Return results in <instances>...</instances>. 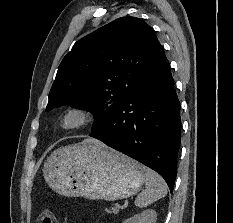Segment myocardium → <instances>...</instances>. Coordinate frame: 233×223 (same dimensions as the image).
Here are the masks:
<instances>
[{"label": "myocardium", "mask_w": 233, "mask_h": 223, "mask_svg": "<svg viewBox=\"0 0 233 223\" xmlns=\"http://www.w3.org/2000/svg\"><path fill=\"white\" fill-rule=\"evenodd\" d=\"M70 113H76L80 115L82 118L81 123L78 126L71 129H65V130L60 129L59 124L61 120ZM97 122H98V115L93 108L86 105L73 104L65 107L59 112V114L56 117L54 127L58 133L63 135H69V134H75L89 130L92 127H94L97 124Z\"/></svg>", "instance_id": "1"}]
</instances>
